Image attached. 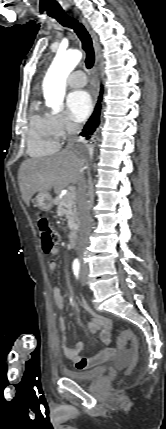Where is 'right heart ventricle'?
Here are the masks:
<instances>
[{"label": "right heart ventricle", "mask_w": 166, "mask_h": 429, "mask_svg": "<svg viewBox=\"0 0 166 429\" xmlns=\"http://www.w3.org/2000/svg\"><path fill=\"white\" fill-rule=\"evenodd\" d=\"M27 149L32 157L51 155L59 149V141L52 132L47 114L40 111L36 102L31 108Z\"/></svg>", "instance_id": "e07e8e85"}]
</instances>
